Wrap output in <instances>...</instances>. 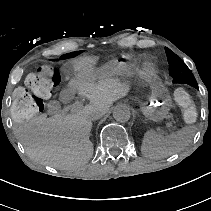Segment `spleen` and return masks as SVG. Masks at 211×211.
<instances>
[{"label":"spleen","mask_w":211,"mask_h":211,"mask_svg":"<svg viewBox=\"0 0 211 211\" xmlns=\"http://www.w3.org/2000/svg\"><path fill=\"white\" fill-rule=\"evenodd\" d=\"M196 128L186 126L182 129L163 136L154 130H149L144 134L141 145V152L150 159H162L168 157L192 142Z\"/></svg>","instance_id":"1"}]
</instances>
